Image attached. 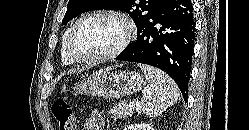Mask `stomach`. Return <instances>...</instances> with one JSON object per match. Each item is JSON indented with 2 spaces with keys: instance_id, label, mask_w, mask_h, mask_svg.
Segmentation results:
<instances>
[{
  "instance_id": "1",
  "label": "stomach",
  "mask_w": 249,
  "mask_h": 130,
  "mask_svg": "<svg viewBox=\"0 0 249 130\" xmlns=\"http://www.w3.org/2000/svg\"><path fill=\"white\" fill-rule=\"evenodd\" d=\"M143 76L134 70H101L76 83L72 92L103 98H121L142 89Z\"/></svg>"
}]
</instances>
